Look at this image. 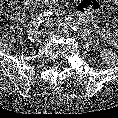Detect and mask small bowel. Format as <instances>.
<instances>
[{"label": "small bowel", "instance_id": "small-bowel-1", "mask_svg": "<svg viewBox=\"0 0 118 118\" xmlns=\"http://www.w3.org/2000/svg\"><path fill=\"white\" fill-rule=\"evenodd\" d=\"M27 1H31V0H27ZM72 1V3H76V2H78L79 0H71ZM103 1H105V2H110V1H112V6H111V4H108V6H109V8L111 9V11H114L115 10V8H116V5H117V0H103ZM47 4H49L51 7H58L59 6V4H60V0H46L45 1ZM108 2V3H109ZM86 6H89V7H92L93 6V4H92V2H90V4H88V5H86ZM88 7V8H89ZM87 8V9H88ZM84 10V12H86L85 10V8L83 9ZM27 19H28V15H27V13L26 12H23V13H21L19 16H18V18H17V20H18V22H21V23H23V22H26L27 21Z\"/></svg>", "mask_w": 118, "mask_h": 118}]
</instances>
